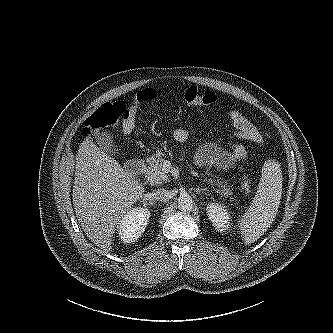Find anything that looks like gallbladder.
Returning a JSON list of instances; mask_svg holds the SVG:
<instances>
[{"instance_id": "bac80fb5", "label": "gallbladder", "mask_w": 333, "mask_h": 333, "mask_svg": "<svg viewBox=\"0 0 333 333\" xmlns=\"http://www.w3.org/2000/svg\"><path fill=\"white\" fill-rule=\"evenodd\" d=\"M97 143L102 147L106 152L111 153L112 155L118 154L117 146L113 140V137L108 131H102L99 137L97 138Z\"/></svg>"}]
</instances>
